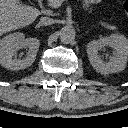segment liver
<instances>
[{"instance_id": "obj_1", "label": "liver", "mask_w": 128, "mask_h": 128, "mask_svg": "<svg viewBox=\"0 0 128 128\" xmlns=\"http://www.w3.org/2000/svg\"><path fill=\"white\" fill-rule=\"evenodd\" d=\"M40 11L19 0H0V36L35 21Z\"/></svg>"}]
</instances>
